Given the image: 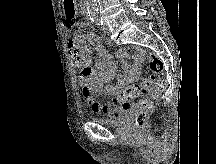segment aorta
<instances>
[{
	"label": "aorta",
	"mask_w": 216,
	"mask_h": 164,
	"mask_svg": "<svg viewBox=\"0 0 216 164\" xmlns=\"http://www.w3.org/2000/svg\"><path fill=\"white\" fill-rule=\"evenodd\" d=\"M86 2L89 15L95 17L97 13V0H86Z\"/></svg>",
	"instance_id": "aorta-1"
}]
</instances>
